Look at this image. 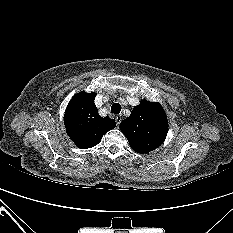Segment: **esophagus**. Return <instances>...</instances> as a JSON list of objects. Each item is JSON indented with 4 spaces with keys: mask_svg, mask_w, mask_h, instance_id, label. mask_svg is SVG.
<instances>
[{
    "mask_svg": "<svg viewBox=\"0 0 233 233\" xmlns=\"http://www.w3.org/2000/svg\"><path fill=\"white\" fill-rule=\"evenodd\" d=\"M116 123H117V126H119L120 122L122 121V116L121 115H117L116 118Z\"/></svg>",
    "mask_w": 233,
    "mask_h": 233,
    "instance_id": "1",
    "label": "esophagus"
}]
</instances>
